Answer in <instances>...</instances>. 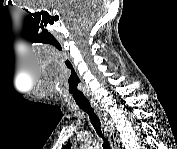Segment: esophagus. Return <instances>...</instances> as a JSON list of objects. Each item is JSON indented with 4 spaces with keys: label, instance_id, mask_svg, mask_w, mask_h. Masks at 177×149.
Segmentation results:
<instances>
[{
    "label": "esophagus",
    "instance_id": "esophagus-1",
    "mask_svg": "<svg viewBox=\"0 0 177 149\" xmlns=\"http://www.w3.org/2000/svg\"><path fill=\"white\" fill-rule=\"evenodd\" d=\"M91 105L93 106V108L95 109V111L97 112L98 116L101 119L105 133L109 139L112 149H118L119 143L114 135L115 131L114 122L111 119H109L107 112L103 109L100 103L92 101Z\"/></svg>",
    "mask_w": 177,
    "mask_h": 149
}]
</instances>
